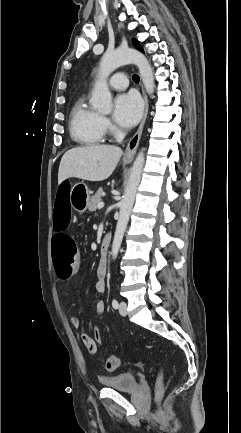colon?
I'll use <instances>...</instances> for the list:
<instances>
[{
    "instance_id": "obj_1",
    "label": "colon",
    "mask_w": 241,
    "mask_h": 433,
    "mask_svg": "<svg viewBox=\"0 0 241 433\" xmlns=\"http://www.w3.org/2000/svg\"><path fill=\"white\" fill-rule=\"evenodd\" d=\"M71 184L69 181H60L58 186L54 189V207L52 224L58 234L51 235L52 242V257L54 260L55 269L58 277L62 281L69 280L77 266V248L75 245V238L73 234H67L65 231L66 226L70 224V216H72L71 207ZM95 342L99 347L101 340L96 333ZM90 346H92L90 344ZM120 365V360L117 355L110 354L106 358L105 367L109 371L116 370ZM164 390V372L160 363L157 364V378H156V392L158 395L162 394Z\"/></svg>"
}]
</instances>
